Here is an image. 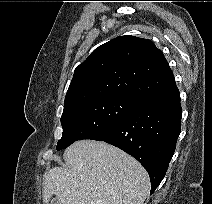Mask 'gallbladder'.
I'll list each match as a JSON object with an SVG mask.
<instances>
[{"instance_id":"1","label":"gallbladder","mask_w":212,"mask_h":204,"mask_svg":"<svg viewBox=\"0 0 212 204\" xmlns=\"http://www.w3.org/2000/svg\"><path fill=\"white\" fill-rule=\"evenodd\" d=\"M49 204H59L57 199H53Z\"/></svg>"}]
</instances>
